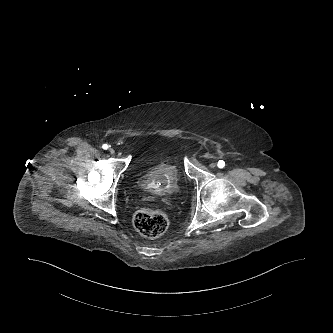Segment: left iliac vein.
I'll return each instance as SVG.
<instances>
[{
	"instance_id": "4c4485c4",
	"label": "left iliac vein",
	"mask_w": 333,
	"mask_h": 333,
	"mask_svg": "<svg viewBox=\"0 0 333 333\" xmlns=\"http://www.w3.org/2000/svg\"><path fill=\"white\" fill-rule=\"evenodd\" d=\"M209 167L210 168H215L216 167V163L215 162L210 163Z\"/></svg>"
}]
</instances>
